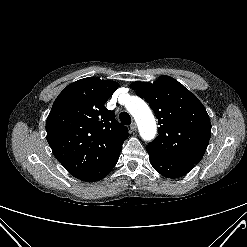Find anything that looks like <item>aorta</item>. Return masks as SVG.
<instances>
[{"mask_svg":"<svg viewBox=\"0 0 247 247\" xmlns=\"http://www.w3.org/2000/svg\"><path fill=\"white\" fill-rule=\"evenodd\" d=\"M126 108L134 117L141 137L152 140L156 134V122L148 105L138 97H131Z\"/></svg>","mask_w":247,"mask_h":247,"instance_id":"obj_1","label":"aorta"}]
</instances>
